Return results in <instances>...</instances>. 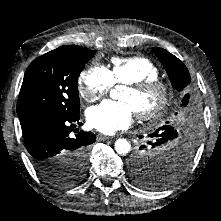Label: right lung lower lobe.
Masks as SVG:
<instances>
[{
  "label": "right lung lower lobe",
  "instance_id": "right-lung-lower-lobe-1",
  "mask_svg": "<svg viewBox=\"0 0 221 221\" xmlns=\"http://www.w3.org/2000/svg\"><path fill=\"white\" fill-rule=\"evenodd\" d=\"M79 119V113L67 115L52 110L33 111L19 118L26 148L39 173L62 162L65 154L95 142L92 132L81 131L75 138L70 136L75 124H80Z\"/></svg>",
  "mask_w": 221,
  "mask_h": 221
}]
</instances>
